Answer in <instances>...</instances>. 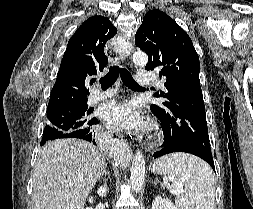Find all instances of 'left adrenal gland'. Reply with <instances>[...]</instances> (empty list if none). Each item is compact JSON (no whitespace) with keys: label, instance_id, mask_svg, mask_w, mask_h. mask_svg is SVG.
Segmentation results:
<instances>
[{"label":"left adrenal gland","instance_id":"obj_1","mask_svg":"<svg viewBox=\"0 0 253 209\" xmlns=\"http://www.w3.org/2000/svg\"><path fill=\"white\" fill-rule=\"evenodd\" d=\"M158 183H159V181L156 180V181L153 183V185H157Z\"/></svg>","mask_w":253,"mask_h":209}]
</instances>
